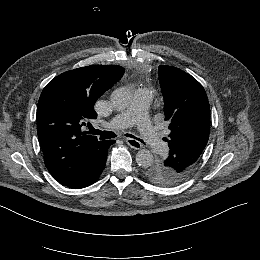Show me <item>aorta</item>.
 Here are the masks:
<instances>
[{"instance_id":"obj_1","label":"aorta","mask_w":260,"mask_h":260,"mask_svg":"<svg viewBox=\"0 0 260 260\" xmlns=\"http://www.w3.org/2000/svg\"><path fill=\"white\" fill-rule=\"evenodd\" d=\"M110 101L115 109L124 110L130 105L131 93L126 88H117L112 92ZM153 160V154L148 149H141L136 154V163L143 168L151 166Z\"/></svg>"}]
</instances>
